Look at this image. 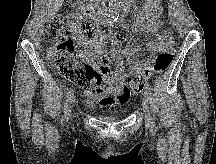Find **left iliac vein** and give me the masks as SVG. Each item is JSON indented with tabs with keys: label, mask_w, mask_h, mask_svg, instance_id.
<instances>
[{
	"label": "left iliac vein",
	"mask_w": 216,
	"mask_h": 164,
	"mask_svg": "<svg viewBox=\"0 0 216 164\" xmlns=\"http://www.w3.org/2000/svg\"><path fill=\"white\" fill-rule=\"evenodd\" d=\"M149 96L146 94L143 98V112H144V117H145V123L147 127H152V122L153 119L150 115V105H149Z\"/></svg>",
	"instance_id": "left-iliac-vein-1"
}]
</instances>
